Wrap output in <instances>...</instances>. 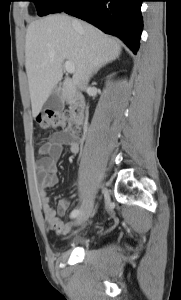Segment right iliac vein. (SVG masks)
I'll return each instance as SVG.
<instances>
[{
	"mask_svg": "<svg viewBox=\"0 0 181 300\" xmlns=\"http://www.w3.org/2000/svg\"><path fill=\"white\" fill-rule=\"evenodd\" d=\"M93 211H94V202L93 199H90L86 208L83 211H81V213L78 215L77 221L78 222L86 221L91 216Z\"/></svg>",
	"mask_w": 181,
	"mask_h": 300,
	"instance_id": "1",
	"label": "right iliac vein"
}]
</instances>
